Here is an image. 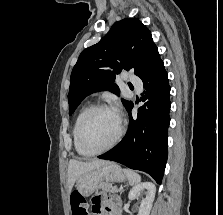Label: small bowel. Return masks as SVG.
I'll use <instances>...</instances> for the list:
<instances>
[{
	"label": "small bowel",
	"instance_id": "c3829d8e",
	"mask_svg": "<svg viewBox=\"0 0 223 215\" xmlns=\"http://www.w3.org/2000/svg\"><path fill=\"white\" fill-rule=\"evenodd\" d=\"M94 215H120L119 201L116 197L106 194H96L92 198Z\"/></svg>",
	"mask_w": 223,
	"mask_h": 215
}]
</instances>
